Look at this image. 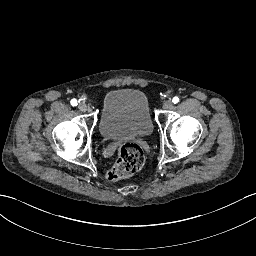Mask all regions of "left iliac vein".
<instances>
[{"instance_id": "4c4485c4", "label": "left iliac vein", "mask_w": 256, "mask_h": 256, "mask_svg": "<svg viewBox=\"0 0 256 256\" xmlns=\"http://www.w3.org/2000/svg\"><path fill=\"white\" fill-rule=\"evenodd\" d=\"M172 106H173V103L171 100H165L163 102V109H165V110L172 108Z\"/></svg>"}]
</instances>
